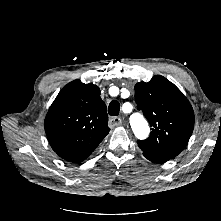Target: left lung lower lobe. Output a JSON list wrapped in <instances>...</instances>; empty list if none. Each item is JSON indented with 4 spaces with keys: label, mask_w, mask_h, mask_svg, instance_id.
Returning a JSON list of instances; mask_svg holds the SVG:
<instances>
[{
    "label": "left lung lower lobe",
    "mask_w": 221,
    "mask_h": 221,
    "mask_svg": "<svg viewBox=\"0 0 221 221\" xmlns=\"http://www.w3.org/2000/svg\"><path fill=\"white\" fill-rule=\"evenodd\" d=\"M148 160L154 162V163H164L166 161H168L169 159H163V158H154L151 156H148L146 154H143Z\"/></svg>",
    "instance_id": "obj_1"
}]
</instances>
